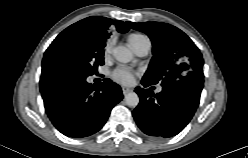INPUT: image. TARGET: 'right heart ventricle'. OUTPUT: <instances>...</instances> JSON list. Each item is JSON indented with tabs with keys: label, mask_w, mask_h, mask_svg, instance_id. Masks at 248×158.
I'll return each instance as SVG.
<instances>
[{
	"label": "right heart ventricle",
	"mask_w": 248,
	"mask_h": 158,
	"mask_svg": "<svg viewBox=\"0 0 248 158\" xmlns=\"http://www.w3.org/2000/svg\"><path fill=\"white\" fill-rule=\"evenodd\" d=\"M147 38L146 36L142 35V34H138V33H133L129 36V44L130 46L133 48V50L135 49V47L144 39Z\"/></svg>",
	"instance_id": "e07e8e85"
}]
</instances>
